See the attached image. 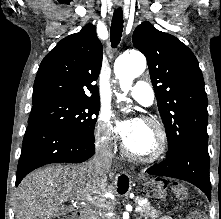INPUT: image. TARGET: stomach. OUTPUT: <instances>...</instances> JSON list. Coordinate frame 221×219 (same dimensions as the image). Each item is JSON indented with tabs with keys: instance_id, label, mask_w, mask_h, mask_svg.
Returning a JSON list of instances; mask_svg holds the SVG:
<instances>
[{
	"instance_id": "stomach-1",
	"label": "stomach",
	"mask_w": 221,
	"mask_h": 219,
	"mask_svg": "<svg viewBox=\"0 0 221 219\" xmlns=\"http://www.w3.org/2000/svg\"><path fill=\"white\" fill-rule=\"evenodd\" d=\"M166 183H175V178H148L144 184L147 195L152 199H173V194H165L169 191Z\"/></svg>"
}]
</instances>
